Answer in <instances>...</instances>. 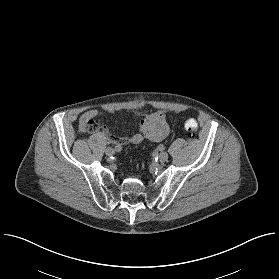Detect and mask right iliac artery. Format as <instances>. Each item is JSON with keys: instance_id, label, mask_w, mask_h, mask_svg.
<instances>
[{"instance_id": "1", "label": "right iliac artery", "mask_w": 279, "mask_h": 279, "mask_svg": "<svg viewBox=\"0 0 279 279\" xmlns=\"http://www.w3.org/2000/svg\"><path fill=\"white\" fill-rule=\"evenodd\" d=\"M122 150V147L120 146V145H116L115 147H114V151H116V152H119V151H121Z\"/></svg>"}]
</instances>
